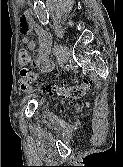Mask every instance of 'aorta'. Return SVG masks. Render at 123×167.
Listing matches in <instances>:
<instances>
[{"label": "aorta", "mask_w": 123, "mask_h": 167, "mask_svg": "<svg viewBox=\"0 0 123 167\" xmlns=\"http://www.w3.org/2000/svg\"><path fill=\"white\" fill-rule=\"evenodd\" d=\"M34 11L40 22L45 25L48 23V15L41 0L34 1Z\"/></svg>", "instance_id": "aorta-1"}]
</instances>
